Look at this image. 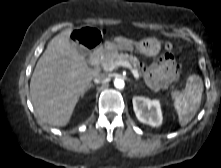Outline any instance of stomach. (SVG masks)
Wrapping results in <instances>:
<instances>
[{"instance_id":"1","label":"stomach","mask_w":221,"mask_h":168,"mask_svg":"<svg viewBox=\"0 0 221 168\" xmlns=\"http://www.w3.org/2000/svg\"><path fill=\"white\" fill-rule=\"evenodd\" d=\"M134 46L140 53L146 56H156L161 50L160 41L153 37L145 38L139 42H136ZM118 50H133V46L132 45H128V46L119 45V44L112 43V42H106L102 46V51L105 54H111Z\"/></svg>"}]
</instances>
